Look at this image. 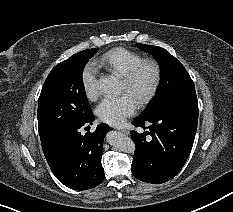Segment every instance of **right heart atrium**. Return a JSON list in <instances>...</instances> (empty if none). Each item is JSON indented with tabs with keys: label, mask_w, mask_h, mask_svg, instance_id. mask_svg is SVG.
Wrapping results in <instances>:
<instances>
[{
	"label": "right heart atrium",
	"mask_w": 233,
	"mask_h": 212,
	"mask_svg": "<svg viewBox=\"0 0 233 212\" xmlns=\"http://www.w3.org/2000/svg\"><path fill=\"white\" fill-rule=\"evenodd\" d=\"M81 83L86 97L95 100L98 97L97 69L93 63H88L82 70Z\"/></svg>",
	"instance_id": "right-heart-atrium-1"
}]
</instances>
